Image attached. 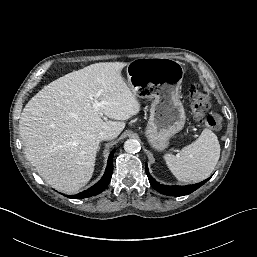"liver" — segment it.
Returning <instances> with one entry per match:
<instances>
[{
  "instance_id": "obj_1",
  "label": "liver",
  "mask_w": 257,
  "mask_h": 257,
  "mask_svg": "<svg viewBox=\"0 0 257 257\" xmlns=\"http://www.w3.org/2000/svg\"><path fill=\"white\" fill-rule=\"evenodd\" d=\"M123 62L89 65L56 79L26 104L19 120L27 159L57 191L73 194L94 172L102 131L116 137L140 111L126 84ZM104 103L98 109L94 102ZM113 119L103 121L101 116Z\"/></svg>"
}]
</instances>
